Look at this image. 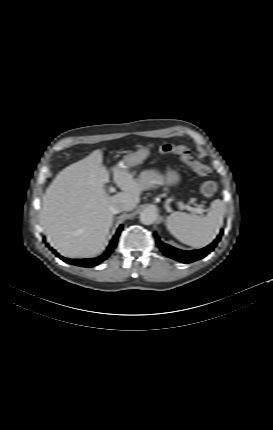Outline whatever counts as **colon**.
Wrapping results in <instances>:
<instances>
[{
  "label": "colon",
  "mask_w": 273,
  "mask_h": 430,
  "mask_svg": "<svg viewBox=\"0 0 273 430\" xmlns=\"http://www.w3.org/2000/svg\"><path fill=\"white\" fill-rule=\"evenodd\" d=\"M160 152L163 154L178 155L181 160L196 174L207 176L210 174V168L196 160L191 151L181 145L163 144L160 147ZM217 190V185L213 181H205L200 186V191L205 197H212Z\"/></svg>",
  "instance_id": "1"
}]
</instances>
